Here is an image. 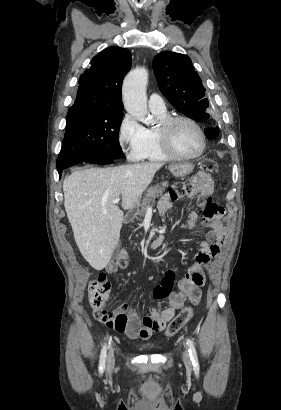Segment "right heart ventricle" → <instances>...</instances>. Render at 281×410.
I'll return each mask as SVG.
<instances>
[{"instance_id": "right-heart-ventricle-1", "label": "right heart ventricle", "mask_w": 281, "mask_h": 410, "mask_svg": "<svg viewBox=\"0 0 281 410\" xmlns=\"http://www.w3.org/2000/svg\"><path fill=\"white\" fill-rule=\"evenodd\" d=\"M153 114L156 116L159 123L165 118L169 117L167 111H155L152 110ZM171 158L162 149L158 137H157V127H152L146 129L145 142L143 149L141 151L139 160L141 161H155L164 162Z\"/></svg>"}]
</instances>
